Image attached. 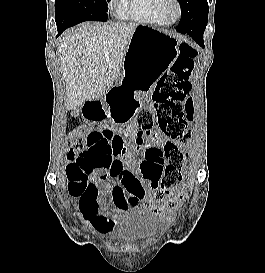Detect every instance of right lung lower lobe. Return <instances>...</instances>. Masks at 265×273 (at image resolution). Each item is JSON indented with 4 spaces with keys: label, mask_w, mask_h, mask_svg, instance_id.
<instances>
[{
    "label": "right lung lower lobe",
    "mask_w": 265,
    "mask_h": 273,
    "mask_svg": "<svg viewBox=\"0 0 265 273\" xmlns=\"http://www.w3.org/2000/svg\"><path fill=\"white\" fill-rule=\"evenodd\" d=\"M64 30L58 29V35L61 34Z\"/></svg>",
    "instance_id": "1"
}]
</instances>
